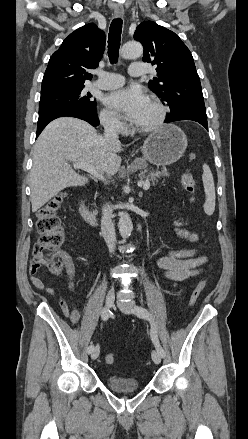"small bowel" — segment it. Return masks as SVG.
<instances>
[{
    "label": "small bowel",
    "mask_w": 248,
    "mask_h": 439,
    "mask_svg": "<svg viewBox=\"0 0 248 439\" xmlns=\"http://www.w3.org/2000/svg\"><path fill=\"white\" fill-rule=\"evenodd\" d=\"M190 200H193V198H190ZM175 234L191 243L197 242L202 237V234L190 231L183 223L176 224ZM64 259L69 279L68 289L73 295L76 288L74 266L68 256L64 255ZM206 262L207 257L200 255L195 249H172L166 255L158 258L157 266L163 271L165 279L176 285L198 275ZM29 273L31 282L36 288L44 290L52 296L55 295L53 288L45 286L43 279L39 276V266L34 260L30 263ZM59 305L63 314L72 323L75 324L79 321L80 313L73 298L66 300L60 296Z\"/></svg>",
    "instance_id": "1"
}]
</instances>
